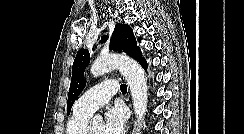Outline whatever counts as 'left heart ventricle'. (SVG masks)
Instances as JSON below:
<instances>
[{
	"mask_svg": "<svg viewBox=\"0 0 244 134\" xmlns=\"http://www.w3.org/2000/svg\"><path fill=\"white\" fill-rule=\"evenodd\" d=\"M92 134H103V125L101 123H95L91 125Z\"/></svg>",
	"mask_w": 244,
	"mask_h": 134,
	"instance_id": "b2bd125f",
	"label": "left heart ventricle"
}]
</instances>
